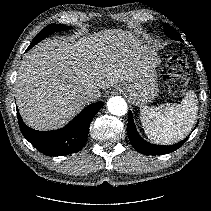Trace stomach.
<instances>
[{
	"mask_svg": "<svg viewBox=\"0 0 211 211\" xmlns=\"http://www.w3.org/2000/svg\"><path fill=\"white\" fill-rule=\"evenodd\" d=\"M147 58L146 65L138 77L125 83L130 101L137 106L151 101L158 92L157 69L160 61L154 50H150Z\"/></svg>",
	"mask_w": 211,
	"mask_h": 211,
	"instance_id": "obj_1",
	"label": "stomach"
}]
</instances>
